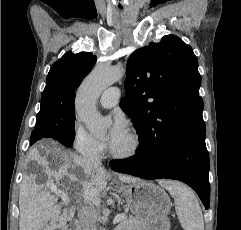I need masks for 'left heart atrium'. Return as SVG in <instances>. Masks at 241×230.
I'll list each match as a JSON object with an SVG mask.
<instances>
[{"mask_svg": "<svg viewBox=\"0 0 241 230\" xmlns=\"http://www.w3.org/2000/svg\"><path fill=\"white\" fill-rule=\"evenodd\" d=\"M127 134V123L121 115H116L107 135L108 146L113 149Z\"/></svg>", "mask_w": 241, "mask_h": 230, "instance_id": "left-heart-atrium-1", "label": "left heart atrium"}]
</instances>
